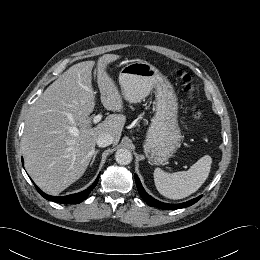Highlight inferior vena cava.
Returning a JSON list of instances; mask_svg holds the SVG:
<instances>
[{"instance_id": "obj_1", "label": "inferior vena cava", "mask_w": 260, "mask_h": 260, "mask_svg": "<svg viewBox=\"0 0 260 260\" xmlns=\"http://www.w3.org/2000/svg\"><path fill=\"white\" fill-rule=\"evenodd\" d=\"M96 143L99 147H106L113 143V137L108 134L104 133L98 136Z\"/></svg>"}]
</instances>
